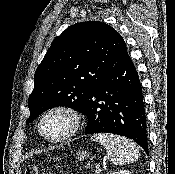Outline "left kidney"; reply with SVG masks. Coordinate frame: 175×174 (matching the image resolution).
<instances>
[{
	"label": "left kidney",
	"instance_id": "5707ae66",
	"mask_svg": "<svg viewBox=\"0 0 175 174\" xmlns=\"http://www.w3.org/2000/svg\"><path fill=\"white\" fill-rule=\"evenodd\" d=\"M110 174H131V173L127 170H120V171H117V172H112Z\"/></svg>",
	"mask_w": 175,
	"mask_h": 174
}]
</instances>
